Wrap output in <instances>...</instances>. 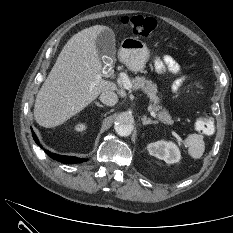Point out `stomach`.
<instances>
[{"label": "stomach", "instance_id": "obj_1", "mask_svg": "<svg viewBox=\"0 0 233 233\" xmlns=\"http://www.w3.org/2000/svg\"><path fill=\"white\" fill-rule=\"evenodd\" d=\"M120 60L131 71H141L150 57L146 44L133 37L125 38L120 46Z\"/></svg>", "mask_w": 233, "mask_h": 233}]
</instances>
